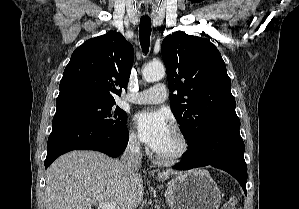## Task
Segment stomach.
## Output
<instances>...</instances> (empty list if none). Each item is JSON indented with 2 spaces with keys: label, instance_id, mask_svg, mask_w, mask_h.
<instances>
[{
  "label": "stomach",
  "instance_id": "1",
  "mask_svg": "<svg viewBox=\"0 0 299 209\" xmlns=\"http://www.w3.org/2000/svg\"><path fill=\"white\" fill-rule=\"evenodd\" d=\"M171 209H218L221 192L208 171L182 172L167 185L165 193Z\"/></svg>",
  "mask_w": 299,
  "mask_h": 209
}]
</instances>
